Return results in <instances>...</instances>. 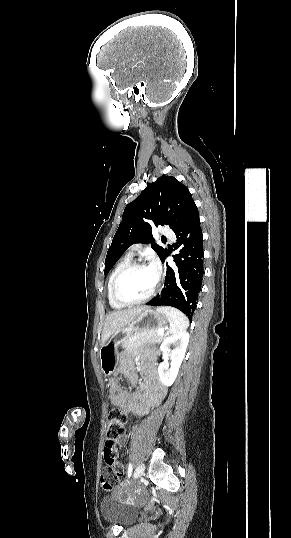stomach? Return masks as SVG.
Returning a JSON list of instances; mask_svg holds the SVG:
<instances>
[{
    "instance_id": "0dacf381",
    "label": "stomach",
    "mask_w": 291,
    "mask_h": 538,
    "mask_svg": "<svg viewBox=\"0 0 291 538\" xmlns=\"http://www.w3.org/2000/svg\"><path fill=\"white\" fill-rule=\"evenodd\" d=\"M168 318L157 310L148 308L142 311L130 326L118 330L110 340L100 348L101 371L105 377H112L117 372L118 346L139 331H151L163 328Z\"/></svg>"
}]
</instances>
